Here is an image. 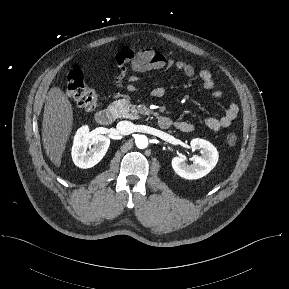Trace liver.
<instances>
[{
  "label": "liver",
  "instance_id": "liver-1",
  "mask_svg": "<svg viewBox=\"0 0 289 289\" xmlns=\"http://www.w3.org/2000/svg\"><path fill=\"white\" fill-rule=\"evenodd\" d=\"M73 126V107L67 95L52 87L46 97L42 141L50 161L59 168Z\"/></svg>",
  "mask_w": 289,
  "mask_h": 289
}]
</instances>
